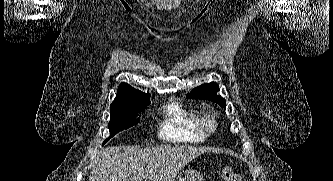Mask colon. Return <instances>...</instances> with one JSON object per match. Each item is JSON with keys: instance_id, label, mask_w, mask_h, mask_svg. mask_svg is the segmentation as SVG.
<instances>
[{"instance_id": "1", "label": "colon", "mask_w": 333, "mask_h": 181, "mask_svg": "<svg viewBox=\"0 0 333 181\" xmlns=\"http://www.w3.org/2000/svg\"><path fill=\"white\" fill-rule=\"evenodd\" d=\"M221 175L224 181H241L238 174L229 165H226L222 168Z\"/></svg>"}]
</instances>
